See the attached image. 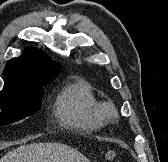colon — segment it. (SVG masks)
<instances>
[{"label": "colon", "instance_id": "colon-1", "mask_svg": "<svg viewBox=\"0 0 168 162\" xmlns=\"http://www.w3.org/2000/svg\"><path fill=\"white\" fill-rule=\"evenodd\" d=\"M105 159L109 162H112L114 160L117 159V154L116 152L114 151H108L106 154H105Z\"/></svg>", "mask_w": 168, "mask_h": 162}]
</instances>
